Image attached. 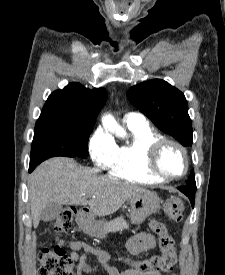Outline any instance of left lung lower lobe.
I'll return each instance as SVG.
<instances>
[{
  "label": "left lung lower lobe",
  "mask_w": 225,
  "mask_h": 275,
  "mask_svg": "<svg viewBox=\"0 0 225 275\" xmlns=\"http://www.w3.org/2000/svg\"><path fill=\"white\" fill-rule=\"evenodd\" d=\"M181 192H183L191 202L192 207H194V200H195V192H196V186H182L178 188Z\"/></svg>",
  "instance_id": "obj_1"
}]
</instances>
